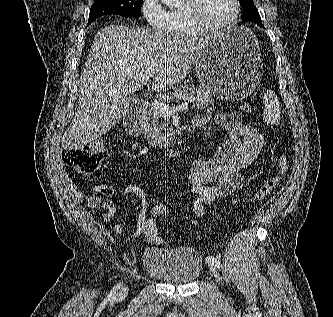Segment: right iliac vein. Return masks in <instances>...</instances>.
I'll use <instances>...</instances> for the list:
<instances>
[{"label": "right iliac vein", "mask_w": 333, "mask_h": 317, "mask_svg": "<svg viewBox=\"0 0 333 317\" xmlns=\"http://www.w3.org/2000/svg\"><path fill=\"white\" fill-rule=\"evenodd\" d=\"M127 292H128V287H124V288L121 289L118 296L119 297H124V296H126Z\"/></svg>", "instance_id": "1"}]
</instances>
